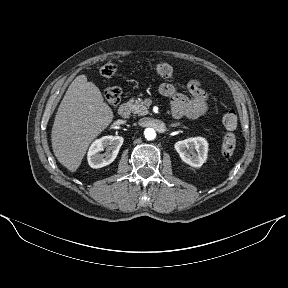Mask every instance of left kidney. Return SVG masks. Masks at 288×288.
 Segmentation results:
<instances>
[{"instance_id": "obj_1", "label": "left kidney", "mask_w": 288, "mask_h": 288, "mask_svg": "<svg viewBox=\"0 0 288 288\" xmlns=\"http://www.w3.org/2000/svg\"><path fill=\"white\" fill-rule=\"evenodd\" d=\"M180 158L192 167H201L208 154V143L202 137L188 138L174 145Z\"/></svg>"}]
</instances>
